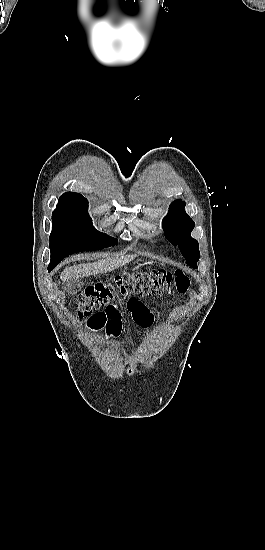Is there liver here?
<instances>
[{
    "label": "liver",
    "mask_w": 265,
    "mask_h": 550,
    "mask_svg": "<svg viewBox=\"0 0 265 550\" xmlns=\"http://www.w3.org/2000/svg\"><path fill=\"white\" fill-rule=\"evenodd\" d=\"M135 258V255L105 258L93 263H82L69 266L61 273L63 283L71 279H81L93 274L107 273L126 265Z\"/></svg>",
    "instance_id": "6515ba94"
}]
</instances>
